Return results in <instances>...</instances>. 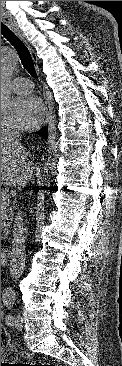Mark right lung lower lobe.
I'll list each match as a JSON object with an SVG mask.
<instances>
[{
    "label": "right lung lower lobe",
    "mask_w": 122,
    "mask_h": 366,
    "mask_svg": "<svg viewBox=\"0 0 122 366\" xmlns=\"http://www.w3.org/2000/svg\"><path fill=\"white\" fill-rule=\"evenodd\" d=\"M39 134H40L44 139H47L48 129H47V128H42V129L39 131Z\"/></svg>",
    "instance_id": "98d812e1"
}]
</instances>
